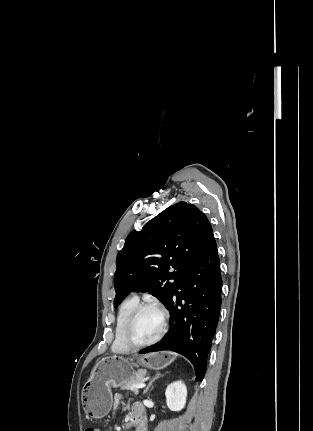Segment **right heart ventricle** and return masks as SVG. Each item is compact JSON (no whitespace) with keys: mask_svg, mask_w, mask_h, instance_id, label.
<instances>
[{"mask_svg":"<svg viewBox=\"0 0 313 431\" xmlns=\"http://www.w3.org/2000/svg\"><path fill=\"white\" fill-rule=\"evenodd\" d=\"M138 304V297L133 295L125 298L119 305L116 315L114 340L112 343L113 352L124 353L130 350L123 341V331L130 313Z\"/></svg>","mask_w":313,"mask_h":431,"instance_id":"right-heart-ventricle-1","label":"right heart ventricle"}]
</instances>
